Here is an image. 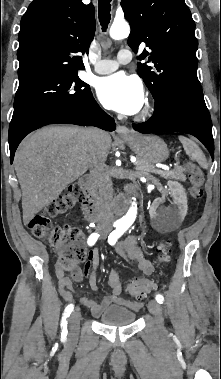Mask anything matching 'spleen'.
Wrapping results in <instances>:
<instances>
[{
    "mask_svg": "<svg viewBox=\"0 0 221 379\" xmlns=\"http://www.w3.org/2000/svg\"><path fill=\"white\" fill-rule=\"evenodd\" d=\"M179 140L189 158L196 161L202 168H207V161L202 150L192 140L184 136H179Z\"/></svg>",
    "mask_w": 221,
    "mask_h": 379,
    "instance_id": "3e777b00",
    "label": "spleen"
}]
</instances>
